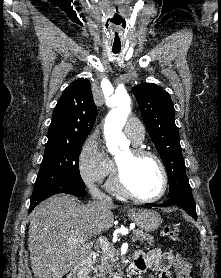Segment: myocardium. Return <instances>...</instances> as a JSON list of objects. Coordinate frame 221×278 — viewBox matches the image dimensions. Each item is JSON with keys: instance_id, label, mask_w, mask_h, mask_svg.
<instances>
[{"instance_id": "1", "label": "myocardium", "mask_w": 221, "mask_h": 278, "mask_svg": "<svg viewBox=\"0 0 221 278\" xmlns=\"http://www.w3.org/2000/svg\"><path fill=\"white\" fill-rule=\"evenodd\" d=\"M130 153L132 154L133 157L135 158H140V157H150L154 159L162 174V187L160 192L155 195V196H142L134 192V190L130 187L128 184L124 171L122 167L117 163L116 164V170H115V184L118 190L124 194L125 196L141 201V202H156L160 200L167 192L168 185H169V176H168V171L167 168L163 162V160L153 151L144 149V148H139V147H134L130 149Z\"/></svg>"}]
</instances>
